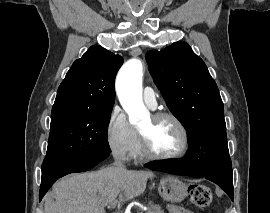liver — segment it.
Segmentation results:
<instances>
[{"label":"liver","instance_id":"6515ba94","mask_svg":"<svg viewBox=\"0 0 270 213\" xmlns=\"http://www.w3.org/2000/svg\"><path fill=\"white\" fill-rule=\"evenodd\" d=\"M153 176L151 171H120L113 166L68 175L46 195L44 213H105L111 203L120 205L141 195Z\"/></svg>","mask_w":270,"mask_h":213}]
</instances>
